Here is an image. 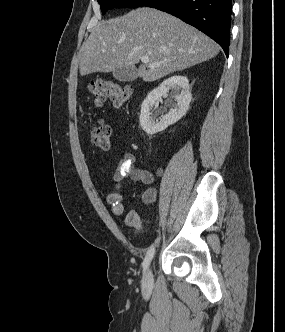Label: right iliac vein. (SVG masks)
Masks as SVG:
<instances>
[{"label": "right iliac vein", "mask_w": 285, "mask_h": 332, "mask_svg": "<svg viewBox=\"0 0 285 332\" xmlns=\"http://www.w3.org/2000/svg\"><path fill=\"white\" fill-rule=\"evenodd\" d=\"M151 279H152V273H151V270L148 269V271L146 272V274L143 278V283L144 284H149L151 282Z\"/></svg>", "instance_id": "63e3f726"}]
</instances>
